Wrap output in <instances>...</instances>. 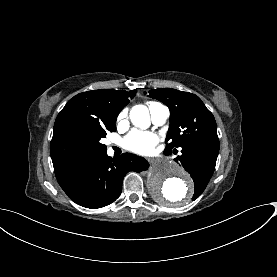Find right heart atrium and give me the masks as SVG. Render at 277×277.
<instances>
[{
	"label": "right heart atrium",
	"mask_w": 277,
	"mask_h": 277,
	"mask_svg": "<svg viewBox=\"0 0 277 277\" xmlns=\"http://www.w3.org/2000/svg\"><path fill=\"white\" fill-rule=\"evenodd\" d=\"M125 123H126V116L123 113L119 114L117 118V125L119 127H122L123 125H125Z\"/></svg>",
	"instance_id": "1"
}]
</instances>
